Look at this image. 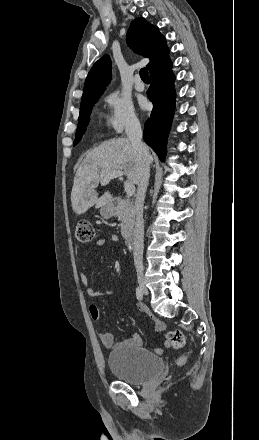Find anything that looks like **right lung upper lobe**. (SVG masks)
Instances as JSON below:
<instances>
[{
	"label": "right lung upper lobe",
	"instance_id": "1",
	"mask_svg": "<svg viewBox=\"0 0 259 440\" xmlns=\"http://www.w3.org/2000/svg\"><path fill=\"white\" fill-rule=\"evenodd\" d=\"M127 44L137 53L149 57V72L169 55L165 37L155 25L144 18L132 21L127 32ZM111 79V60L108 55L100 58L91 68L85 81L82 102L98 99Z\"/></svg>",
	"mask_w": 259,
	"mask_h": 440
}]
</instances>
